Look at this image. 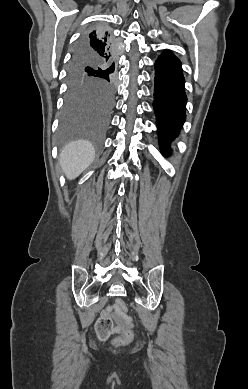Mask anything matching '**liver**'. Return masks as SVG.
Segmentation results:
<instances>
[{
	"instance_id": "liver-1",
	"label": "liver",
	"mask_w": 248,
	"mask_h": 389,
	"mask_svg": "<svg viewBox=\"0 0 248 389\" xmlns=\"http://www.w3.org/2000/svg\"><path fill=\"white\" fill-rule=\"evenodd\" d=\"M95 150L87 140H76L68 143L61 151L59 161L67 178L78 177L94 160Z\"/></svg>"
}]
</instances>
